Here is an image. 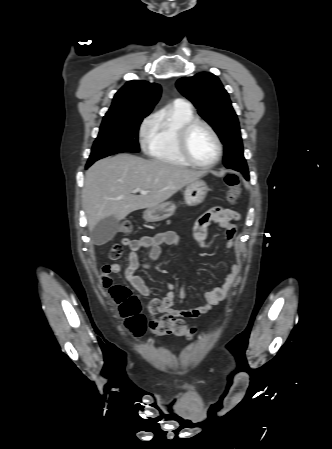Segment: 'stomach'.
Returning <instances> with one entry per match:
<instances>
[{"label":"stomach","instance_id":"obj_1","mask_svg":"<svg viewBox=\"0 0 332 449\" xmlns=\"http://www.w3.org/2000/svg\"><path fill=\"white\" fill-rule=\"evenodd\" d=\"M208 186L203 180H196L186 186L184 191L185 204L197 206L201 204L208 192ZM176 210V205L172 201L163 202L157 206L147 208L143 213L146 222H158L171 217Z\"/></svg>","mask_w":332,"mask_h":449}]
</instances>
